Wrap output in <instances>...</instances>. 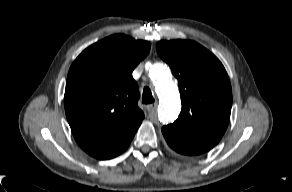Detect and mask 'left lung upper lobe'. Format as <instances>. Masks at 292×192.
<instances>
[{
    "label": "left lung upper lobe",
    "instance_id": "5c2ea615",
    "mask_svg": "<svg viewBox=\"0 0 292 192\" xmlns=\"http://www.w3.org/2000/svg\"><path fill=\"white\" fill-rule=\"evenodd\" d=\"M156 48L178 79L183 105L178 119L163 128L216 145L227 129L232 106V90L224 66L194 41H160Z\"/></svg>",
    "mask_w": 292,
    "mask_h": 192
}]
</instances>
